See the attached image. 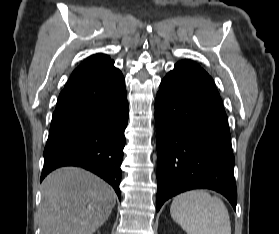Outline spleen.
<instances>
[{"instance_id": "3e777b00", "label": "spleen", "mask_w": 279, "mask_h": 234, "mask_svg": "<svg viewBox=\"0 0 279 234\" xmlns=\"http://www.w3.org/2000/svg\"><path fill=\"white\" fill-rule=\"evenodd\" d=\"M170 213L187 234H231L229 213L224 202L204 190L176 196Z\"/></svg>"}]
</instances>
